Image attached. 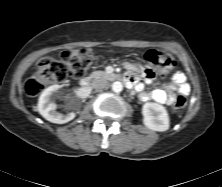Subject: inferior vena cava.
<instances>
[{"label": "inferior vena cava", "instance_id": "inferior-vena-cava-1", "mask_svg": "<svg viewBox=\"0 0 222 187\" xmlns=\"http://www.w3.org/2000/svg\"><path fill=\"white\" fill-rule=\"evenodd\" d=\"M107 85H108V81L103 78L96 79L92 84L93 88L97 90L103 89L107 87Z\"/></svg>", "mask_w": 222, "mask_h": 187}]
</instances>
